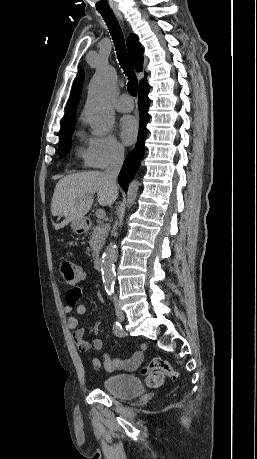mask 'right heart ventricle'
I'll return each mask as SVG.
<instances>
[{"label": "right heart ventricle", "instance_id": "obj_1", "mask_svg": "<svg viewBox=\"0 0 257 459\" xmlns=\"http://www.w3.org/2000/svg\"><path fill=\"white\" fill-rule=\"evenodd\" d=\"M79 154H80V156L83 158V160L85 161V163L89 165V161H88V158H87V151H86V150H83V149H80V150H79Z\"/></svg>", "mask_w": 257, "mask_h": 459}]
</instances>
